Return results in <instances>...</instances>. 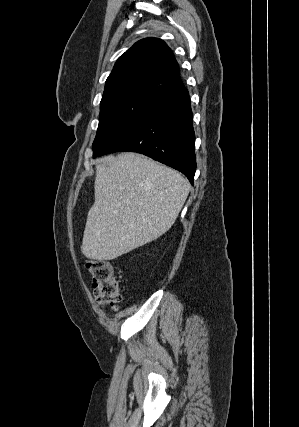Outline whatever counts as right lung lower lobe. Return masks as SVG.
Masks as SVG:
<instances>
[{
	"mask_svg": "<svg viewBox=\"0 0 299 427\" xmlns=\"http://www.w3.org/2000/svg\"><path fill=\"white\" fill-rule=\"evenodd\" d=\"M194 145L190 97L183 87L154 101L134 124L93 157L118 151L142 153L182 172L193 184Z\"/></svg>",
	"mask_w": 299,
	"mask_h": 427,
	"instance_id": "98d812e1",
	"label": "right lung lower lobe"
}]
</instances>
